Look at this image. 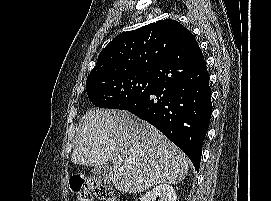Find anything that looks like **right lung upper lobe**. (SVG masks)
<instances>
[{
	"label": "right lung upper lobe",
	"instance_id": "obj_1",
	"mask_svg": "<svg viewBox=\"0 0 271 201\" xmlns=\"http://www.w3.org/2000/svg\"><path fill=\"white\" fill-rule=\"evenodd\" d=\"M191 32L175 20H160L117 35L99 54L88 78L153 73Z\"/></svg>",
	"mask_w": 271,
	"mask_h": 201
}]
</instances>
